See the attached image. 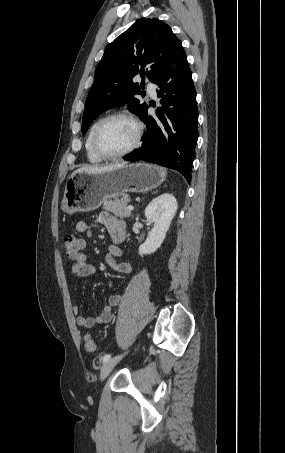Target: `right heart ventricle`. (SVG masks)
<instances>
[{
	"instance_id": "1",
	"label": "right heart ventricle",
	"mask_w": 285,
	"mask_h": 453,
	"mask_svg": "<svg viewBox=\"0 0 285 453\" xmlns=\"http://www.w3.org/2000/svg\"><path fill=\"white\" fill-rule=\"evenodd\" d=\"M99 121L100 120H97L91 125V127L88 131L87 137H86V141H85V151H86L87 159L89 160V162L94 163V164H97V163H100L103 161V159L94 152L93 147H92L93 132Z\"/></svg>"
}]
</instances>
